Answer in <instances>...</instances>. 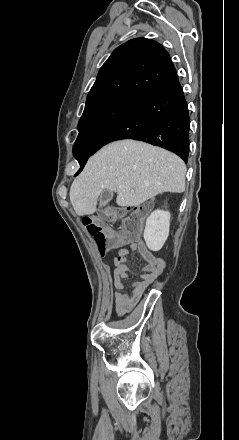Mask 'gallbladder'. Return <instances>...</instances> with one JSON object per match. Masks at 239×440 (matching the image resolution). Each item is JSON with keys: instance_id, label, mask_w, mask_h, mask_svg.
Here are the masks:
<instances>
[{"instance_id": "obj_1", "label": "gallbladder", "mask_w": 239, "mask_h": 440, "mask_svg": "<svg viewBox=\"0 0 239 440\" xmlns=\"http://www.w3.org/2000/svg\"><path fill=\"white\" fill-rule=\"evenodd\" d=\"M112 198H113V192H111V190H102L99 200L100 208H104V206H107L108 202H110Z\"/></svg>"}]
</instances>
